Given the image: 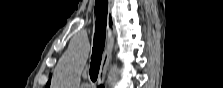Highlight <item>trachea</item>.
<instances>
[{
	"instance_id": "trachea-1",
	"label": "trachea",
	"mask_w": 223,
	"mask_h": 88,
	"mask_svg": "<svg viewBox=\"0 0 223 88\" xmlns=\"http://www.w3.org/2000/svg\"><path fill=\"white\" fill-rule=\"evenodd\" d=\"M94 11L96 15V22H95L94 42H93L92 56L89 70L90 78L93 82L97 80L102 59V53L105 46L107 13H108L107 0H96Z\"/></svg>"
}]
</instances>
